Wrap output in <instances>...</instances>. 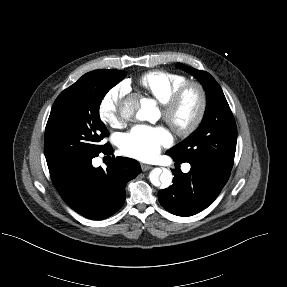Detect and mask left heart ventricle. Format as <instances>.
I'll use <instances>...</instances> for the list:
<instances>
[{"label":"left heart ventricle","instance_id":"b2bd125f","mask_svg":"<svg viewBox=\"0 0 287 287\" xmlns=\"http://www.w3.org/2000/svg\"><path fill=\"white\" fill-rule=\"evenodd\" d=\"M198 108V98L194 92H190L184 102L182 103L180 109L178 110L175 121L180 125H186L195 116Z\"/></svg>","mask_w":287,"mask_h":287}]
</instances>
